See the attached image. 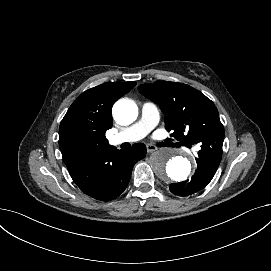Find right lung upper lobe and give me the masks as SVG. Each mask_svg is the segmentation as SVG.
Here are the masks:
<instances>
[{"instance_id": "right-lung-upper-lobe-1", "label": "right lung upper lobe", "mask_w": 271, "mask_h": 271, "mask_svg": "<svg viewBox=\"0 0 271 271\" xmlns=\"http://www.w3.org/2000/svg\"><path fill=\"white\" fill-rule=\"evenodd\" d=\"M135 85V81L107 82L86 90L72 103L59 127V147L68 171L109 146L105 133L112 127V105ZM87 139L106 143L91 150Z\"/></svg>"}]
</instances>
